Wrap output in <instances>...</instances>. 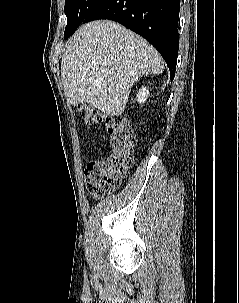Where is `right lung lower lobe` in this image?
<instances>
[{
  "label": "right lung lower lobe",
  "mask_w": 239,
  "mask_h": 303,
  "mask_svg": "<svg viewBox=\"0 0 239 303\" xmlns=\"http://www.w3.org/2000/svg\"><path fill=\"white\" fill-rule=\"evenodd\" d=\"M180 0H106L84 21L109 19L119 22L149 41L175 76L178 55Z\"/></svg>",
  "instance_id": "98d812e1"
}]
</instances>
